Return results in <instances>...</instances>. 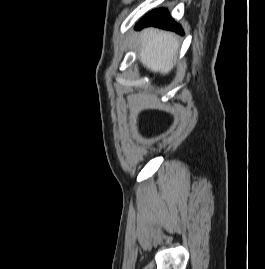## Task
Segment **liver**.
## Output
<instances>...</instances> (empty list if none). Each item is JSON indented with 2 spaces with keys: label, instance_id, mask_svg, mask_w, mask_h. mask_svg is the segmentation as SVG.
Instances as JSON below:
<instances>
[{
  "label": "liver",
  "instance_id": "obj_1",
  "mask_svg": "<svg viewBox=\"0 0 265 269\" xmlns=\"http://www.w3.org/2000/svg\"><path fill=\"white\" fill-rule=\"evenodd\" d=\"M178 37L169 32L147 28L139 37V59L152 72L167 74L176 63Z\"/></svg>",
  "mask_w": 265,
  "mask_h": 269
}]
</instances>
